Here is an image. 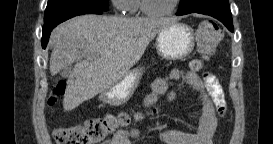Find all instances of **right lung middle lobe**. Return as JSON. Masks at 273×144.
<instances>
[{
	"label": "right lung middle lobe",
	"instance_id": "right-lung-middle-lobe-1",
	"mask_svg": "<svg viewBox=\"0 0 273 144\" xmlns=\"http://www.w3.org/2000/svg\"><path fill=\"white\" fill-rule=\"evenodd\" d=\"M96 7L104 11L108 10L109 0H48L44 15V24L58 11L73 7Z\"/></svg>",
	"mask_w": 273,
	"mask_h": 144
}]
</instances>
